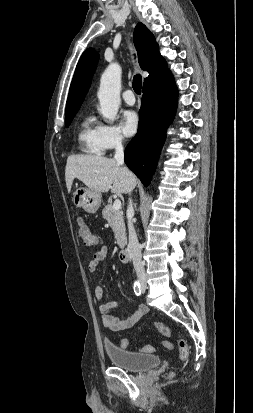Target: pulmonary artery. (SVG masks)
<instances>
[{
  "instance_id": "e3ab8cb5",
  "label": "pulmonary artery",
  "mask_w": 253,
  "mask_h": 413,
  "mask_svg": "<svg viewBox=\"0 0 253 413\" xmlns=\"http://www.w3.org/2000/svg\"><path fill=\"white\" fill-rule=\"evenodd\" d=\"M123 100L125 101L126 104L128 105H134L135 104V96L132 90L128 89L123 92L122 94Z\"/></svg>"
}]
</instances>
